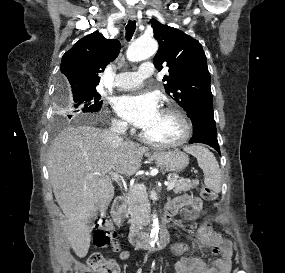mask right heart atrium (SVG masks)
<instances>
[{
  "label": "right heart atrium",
  "mask_w": 285,
  "mask_h": 273,
  "mask_svg": "<svg viewBox=\"0 0 285 273\" xmlns=\"http://www.w3.org/2000/svg\"><path fill=\"white\" fill-rule=\"evenodd\" d=\"M113 123L118 130H124L126 128L125 122L119 119H114Z\"/></svg>",
  "instance_id": "obj_1"
}]
</instances>
